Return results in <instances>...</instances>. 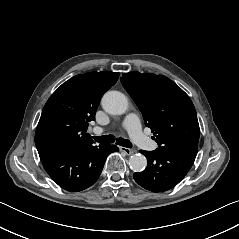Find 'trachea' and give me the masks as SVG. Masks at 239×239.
<instances>
[{
    "instance_id": "trachea-1",
    "label": "trachea",
    "mask_w": 239,
    "mask_h": 239,
    "mask_svg": "<svg viewBox=\"0 0 239 239\" xmlns=\"http://www.w3.org/2000/svg\"><path fill=\"white\" fill-rule=\"evenodd\" d=\"M93 139L98 143H114L116 141V143L122 147H132V143L129 140L123 139L122 137L116 138L113 135L93 136Z\"/></svg>"
}]
</instances>
